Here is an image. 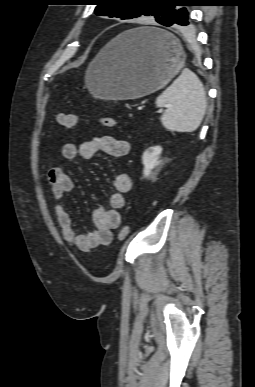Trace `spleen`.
I'll use <instances>...</instances> for the list:
<instances>
[{"label": "spleen", "mask_w": 255, "mask_h": 387, "mask_svg": "<svg viewBox=\"0 0 255 387\" xmlns=\"http://www.w3.org/2000/svg\"><path fill=\"white\" fill-rule=\"evenodd\" d=\"M155 103L157 107L168 105L160 120L166 129L177 132L195 131L207 106L203 84L189 69H184Z\"/></svg>", "instance_id": "1"}]
</instances>
